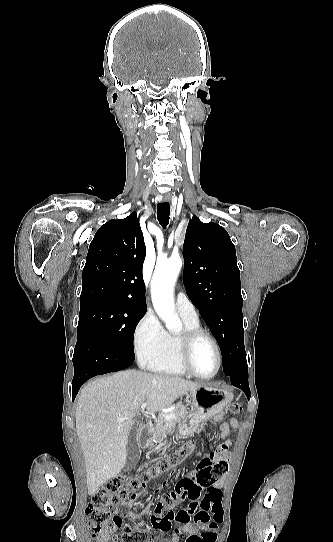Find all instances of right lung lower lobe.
<instances>
[{"label":"right lung lower lobe","mask_w":333,"mask_h":542,"mask_svg":"<svg viewBox=\"0 0 333 542\" xmlns=\"http://www.w3.org/2000/svg\"><path fill=\"white\" fill-rule=\"evenodd\" d=\"M135 357L120 352L97 332L84 331L78 336L73 355V400L88 379L129 367Z\"/></svg>","instance_id":"1"}]
</instances>
